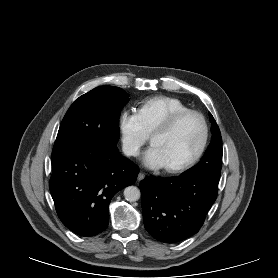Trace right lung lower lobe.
Instances as JSON below:
<instances>
[{"label":"right lung lower lobe","instance_id":"right-lung-lower-lobe-1","mask_svg":"<svg viewBox=\"0 0 278 278\" xmlns=\"http://www.w3.org/2000/svg\"><path fill=\"white\" fill-rule=\"evenodd\" d=\"M49 188L62 223L81 236L108 226L112 197L139 172L114 143H95L52 154Z\"/></svg>","mask_w":278,"mask_h":278}]
</instances>
